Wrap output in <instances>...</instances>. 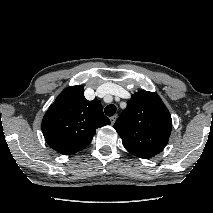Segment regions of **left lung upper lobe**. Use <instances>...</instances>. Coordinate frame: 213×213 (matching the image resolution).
<instances>
[{"mask_svg":"<svg viewBox=\"0 0 213 213\" xmlns=\"http://www.w3.org/2000/svg\"><path fill=\"white\" fill-rule=\"evenodd\" d=\"M114 128L127 151L148 159L160 153L166 146L172 119L156 93L139 91L132 95Z\"/></svg>","mask_w":213,"mask_h":213,"instance_id":"5c2ea615","label":"left lung upper lobe"}]
</instances>
